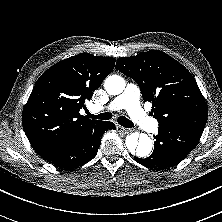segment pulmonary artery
Masks as SVG:
<instances>
[{
    "label": "pulmonary artery",
    "instance_id": "pulmonary-artery-1",
    "mask_svg": "<svg viewBox=\"0 0 222 222\" xmlns=\"http://www.w3.org/2000/svg\"><path fill=\"white\" fill-rule=\"evenodd\" d=\"M140 90L134 84H128L121 95L116 97L111 103L101 106L94 105L91 107L92 112L101 110H119L126 109L131 120L145 131H155L157 121L150 117L139 104Z\"/></svg>",
    "mask_w": 222,
    "mask_h": 222
}]
</instances>
